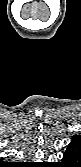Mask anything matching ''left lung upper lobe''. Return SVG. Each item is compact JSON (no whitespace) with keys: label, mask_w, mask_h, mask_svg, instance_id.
Wrapping results in <instances>:
<instances>
[{"label":"left lung upper lobe","mask_w":81,"mask_h":167,"mask_svg":"<svg viewBox=\"0 0 81 167\" xmlns=\"http://www.w3.org/2000/svg\"><path fill=\"white\" fill-rule=\"evenodd\" d=\"M73 139L81 140L80 136H75Z\"/></svg>","instance_id":"5c2ea615"}]
</instances>
